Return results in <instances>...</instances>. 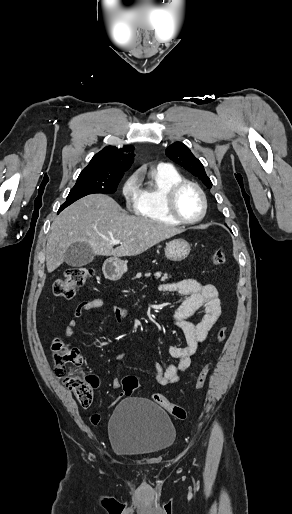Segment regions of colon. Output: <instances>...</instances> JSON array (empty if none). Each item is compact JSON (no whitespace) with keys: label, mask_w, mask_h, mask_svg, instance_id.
Wrapping results in <instances>:
<instances>
[{"label":"colon","mask_w":292,"mask_h":514,"mask_svg":"<svg viewBox=\"0 0 292 514\" xmlns=\"http://www.w3.org/2000/svg\"><path fill=\"white\" fill-rule=\"evenodd\" d=\"M211 262L213 266H222L226 262V252L224 248L218 247L214 250ZM93 270L90 267H72L64 272V275L57 279L53 284V293L56 298L68 300L73 297L76 290L83 287L92 277ZM228 332L226 325H221L216 329L215 342L224 341ZM51 353L54 362V374L62 379L65 386L73 394L76 401L82 407H88L93 403L94 391L99 385V379L95 375L80 370L84 363V355L76 348L66 345L61 339H54L51 343ZM211 364L206 362L199 371L195 387L200 390L204 387L210 374ZM139 387L136 376L129 375L122 380V389L126 396L130 397ZM152 399L163 410L170 415L183 419L186 417L184 408L172 403L160 393H153ZM93 423L99 421V416H90Z\"/></svg>","instance_id":"5ec220e1"}]
</instances>
